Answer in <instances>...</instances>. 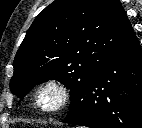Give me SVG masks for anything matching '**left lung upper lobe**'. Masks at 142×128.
I'll use <instances>...</instances> for the list:
<instances>
[{
  "label": "left lung upper lobe",
  "mask_w": 142,
  "mask_h": 128,
  "mask_svg": "<svg viewBox=\"0 0 142 128\" xmlns=\"http://www.w3.org/2000/svg\"><path fill=\"white\" fill-rule=\"evenodd\" d=\"M134 35L119 0H55L18 49L10 90L23 97L36 84L59 80L71 90L69 115L109 54Z\"/></svg>",
  "instance_id": "1"
}]
</instances>
